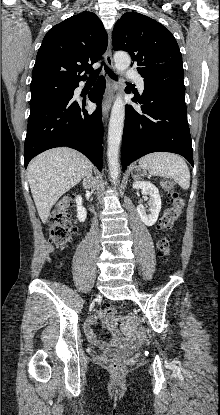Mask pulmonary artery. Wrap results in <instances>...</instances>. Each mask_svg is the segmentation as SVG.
<instances>
[{"mask_svg": "<svg viewBox=\"0 0 220 415\" xmlns=\"http://www.w3.org/2000/svg\"><path fill=\"white\" fill-rule=\"evenodd\" d=\"M126 76L132 78L136 82L137 87L141 92L144 90V81L140 74L134 71L127 70Z\"/></svg>", "mask_w": 220, "mask_h": 415, "instance_id": "pulmonary-artery-1", "label": "pulmonary artery"}]
</instances>
